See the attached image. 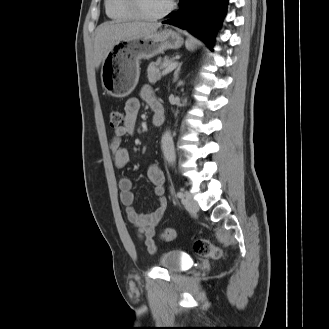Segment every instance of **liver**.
Here are the masks:
<instances>
[{
    "mask_svg": "<svg viewBox=\"0 0 329 329\" xmlns=\"http://www.w3.org/2000/svg\"><path fill=\"white\" fill-rule=\"evenodd\" d=\"M161 27L159 23L143 22H104L95 31L94 64L98 68L113 45L122 39L142 37L156 32Z\"/></svg>",
    "mask_w": 329,
    "mask_h": 329,
    "instance_id": "6515ba94",
    "label": "liver"
}]
</instances>
